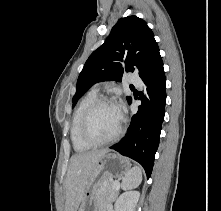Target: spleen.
Wrapping results in <instances>:
<instances>
[{
    "mask_svg": "<svg viewBox=\"0 0 221 211\" xmlns=\"http://www.w3.org/2000/svg\"><path fill=\"white\" fill-rule=\"evenodd\" d=\"M142 182V170L139 166H133L126 174L122 181L121 188L123 190H131L136 188Z\"/></svg>",
    "mask_w": 221,
    "mask_h": 211,
    "instance_id": "3e777b00",
    "label": "spleen"
}]
</instances>
